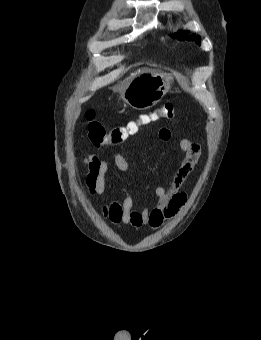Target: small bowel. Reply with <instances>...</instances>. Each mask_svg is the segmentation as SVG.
<instances>
[{
  "label": "small bowel",
  "mask_w": 261,
  "mask_h": 340,
  "mask_svg": "<svg viewBox=\"0 0 261 340\" xmlns=\"http://www.w3.org/2000/svg\"><path fill=\"white\" fill-rule=\"evenodd\" d=\"M158 137L162 141H169L171 131L162 127L158 131ZM107 146H109L108 143L97 146L94 153L80 158V163L88 169L85 187L90 197H103L105 194L109 162L101 159L99 153ZM179 146L184 157L177 165L168 186H157L154 189L157 202L152 209H135L131 196L124 189L122 198H116L101 206L103 215L113 224L135 229L145 226L154 229L159 227L164 220L174 217L187 201V195L181 188L195 169L201 155L200 145L196 142L182 139ZM113 162L120 171H129V164L123 154L115 155Z\"/></svg>",
  "instance_id": "obj_1"
}]
</instances>
